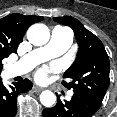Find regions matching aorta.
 <instances>
[{"label":"aorta","mask_w":117,"mask_h":117,"mask_svg":"<svg viewBox=\"0 0 117 117\" xmlns=\"http://www.w3.org/2000/svg\"><path fill=\"white\" fill-rule=\"evenodd\" d=\"M50 38V31L44 24L36 23L29 27L27 39L35 46L45 45ZM40 102L45 107H52L56 102V96L53 92L45 90L40 94Z\"/></svg>","instance_id":"762f6f07"}]
</instances>
